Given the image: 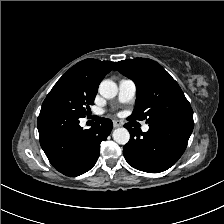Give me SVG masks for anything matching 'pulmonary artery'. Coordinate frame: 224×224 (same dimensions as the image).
Here are the masks:
<instances>
[{
    "label": "pulmonary artery",
    "mask_w": 224,
    "mask_h": 224,
    "mask_svg": "<svg viewBox=\"0 0 224 224\" xmlns=\"http://www.w3.org/2000/svg\"><path fill=\"white\" fill-rule=\"evenodd\" d=\"M136 93V85L135 83L130 79H122L119 82V91H118V100L121 103H127L131 101ZM142 130L144 132H147L149 130V126L147 124H144L142 127Z\"/></svg>",
    "instance_id": "obj_1"
}]
</instances>
